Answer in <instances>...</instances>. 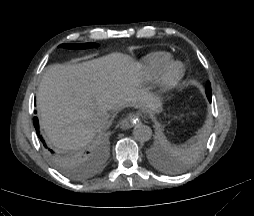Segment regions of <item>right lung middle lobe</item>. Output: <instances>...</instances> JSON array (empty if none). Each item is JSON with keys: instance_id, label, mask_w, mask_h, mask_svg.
Instances as JSON below:
<instances>
[{"instance_id": "obj_1", "label": "right lung middle lobe", "mask_w": 254, "mask_h": 216, "mask_svg": "<svg viewBox=\"0 0 254 216\" xmlns=\"http://www.w3.org/2000/svg\"><path fill=\"white\" fill-rule=\"evenodd\" d=\"M98 44L95 43H86V44H62L59 47L68 48V49H86L91 47H97ZM50 160L55 164L58 168H60L65 174L73 175V171L69 165V163L61 156H56L54 154L48 155Z\"/></svg>"}]
</instances>
